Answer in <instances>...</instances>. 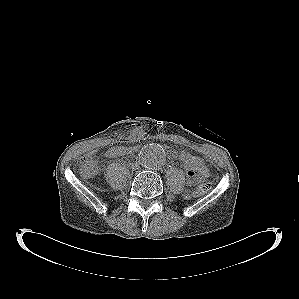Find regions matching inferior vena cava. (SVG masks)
<instances>
[{
	"instance_id": "602c4592",
	"label": "inferior vena cava",
	"mask_w": 299,
	"mask_h": 299,
	"mask_svg": "<svg viewBox=\"0 0 299 299\" xmlns=\"http://www.w3.org/2000/svg\"><path fill=\"white\" fill-rule=\"evenodd\" d=\"M135 167H138V164H135Z\"/></svg>"
}]
</instances>
